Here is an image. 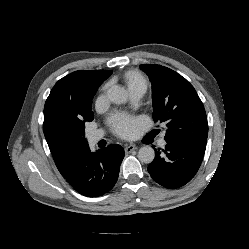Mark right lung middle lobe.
Listing matches in <instances>:
<instances>
[{"label":"right lung middle lobe","instance_id":"obj_1","mask_svg":"<svg viewBox=\"0 0 249 249\" xmlns=\"http://www.w3.org/2000/svg\"><path fill=\"white\" fill-rule=\"evenodd\" d=\"M91 106H92V103L89 106V111H88L87 116L77 121V123L74 126L75 132L81 136L85 135V122H90L93 120L94 115H93V112L91 111Z\"/></svg>","mask_w":249,"mask_h":249}]
</instances>
